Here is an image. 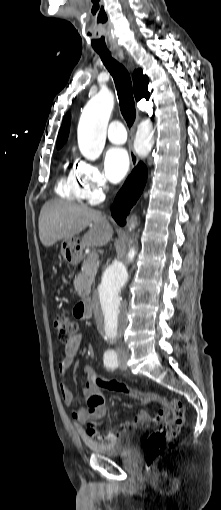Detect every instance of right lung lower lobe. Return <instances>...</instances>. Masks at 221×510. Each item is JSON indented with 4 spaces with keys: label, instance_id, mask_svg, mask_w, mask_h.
Instances as JSON below:
<instances>
[{
    "label": "right lung lower lobe",
    "instance_id": "right-lung-lower-lobe-1",
    "mask_svg": "<svg viewBox=\"0 0 221 510\" xmlns=\"http://www.w3.org/2000/svg\"><path fill=\"white\" fill-rule=\"evenodd\" d=\"M147 180V169L139 163L118 192L111 208V214L119 225H125V218L141 195Z\"/></svg>",
    "mask_w": 221,
    "mask_h": 510
}]
</instances>
